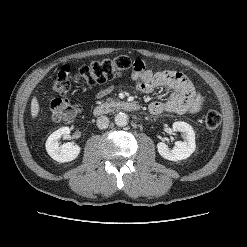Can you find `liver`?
<instances>
[{
    "label": "liver",
    "instance_id": "obj_1",
    "mask_svg": "<svg viewBox=\"0 0 247 247\" xmlns=\"http://www.w3.org/2000/svg\"><path fill=\"white\" fill-rule=\"evenodd\" d=\"M40 106L37 100V97L34 96L31 101V116L35 119L39 115Z\"/></svg>",
    "mask_w": 247,
    "mask_h": 247
}]
</instances>
